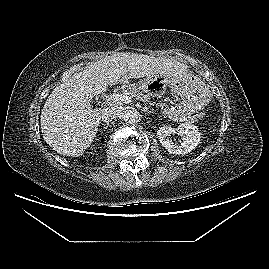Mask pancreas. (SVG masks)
I'll use <instances>...</instances> for the list:
<instances>
[{
    "mask_svg": "<svg viewBox=\"0 0 269 269\" xmlns=\"http://www.w3.org/2000/svg\"><path fill=\"white\" fill-rule=\"evenodd\" d=\"M124 93H127L131 97H135L139 100H147V96L139 91V89L134 84H129L123 88ZM161 107L162 112L173 120L187 121L183 117L179 116L177 110L171 109L166 103H161L158 105Z\"/></svg>",
    "mask_w": 269,
    "mask_h": 269,
    "instance_id": "pancreas-1",
    "label": "pancreas"
}]
</instances>
